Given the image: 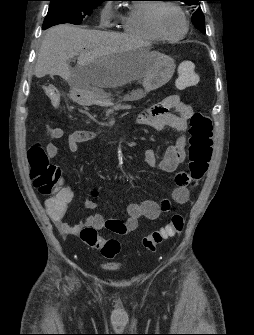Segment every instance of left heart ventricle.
Here are the masks:
<instances>
[{
    "mask_svg": "<svg viewBox=\"0 0 254 335\" xmlns=\"http://www.w3.org/2000/svg\"><path fill=\"white\" fill-rule=\"evenodd\" d=\"M158 26L167 36H176L183 30L184 24L180 14L170 7H163L158 12Z\"/></svg>",
    "mask_w": 254,
    "mask_h": 335,
    "instance_id": "obj_1",
    "label": "left heart ventricle"
}]
</instances>
